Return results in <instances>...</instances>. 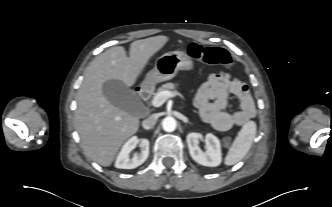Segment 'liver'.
<instances>
[{
  "mask_svg": "<svg viewBox=\"0 0 332 207\" xmlns=\"http://www.w3.org/2000/svg\"><path fill=\"white\" fill-rule=\"evenodd\" d=\"M168 41L165 36L137 40L130 57L122 46L112 47L94 59L84 72L77 94L75 127L86 156L101 166L112 164L123 143L139 129V118L113 106L104 96L107 80L133 86L152 56Z\"/></svg>",
  "mask_w": 332,
  "mask_h": 207,
  "instance_id": "obj_1",
  "label": "liver"
}]
</instances>
